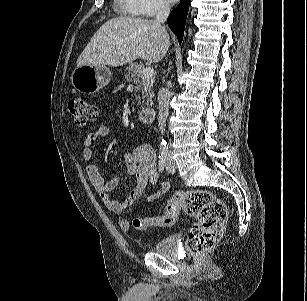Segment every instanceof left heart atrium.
I'll use <instances>...</instances> for the list:
<instances>
[{
    "instance_id": "1",
    "label": "left heart atrium",
    "mask_w": 307,
    "mask_h": 301,
    "mask_svg": "<svg viewBox=\"0 0 307 301\" xmlns=\"http://www.w3.org/2000/svg\"><path fill=\"white\" fill-rule=\"evenodd\" d=\"M178 0H166L167 3L173 4L175 2H177Z\"/></svg>"
}]
</instances>
